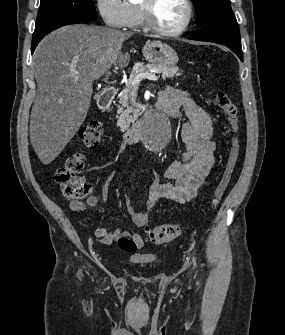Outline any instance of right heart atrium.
Segmentation results:
<instances>
[{
    "mask_svg": "<svg viewBox=\"0 0 285 335\" xmlns=\"http://www.w3.org/2000/svg\"><path fill=\"white\" fill-rule=\"evenodd\" d=\"M99 8L104 23L116 30L129 26L135 16L129 1H100Z\"/></svg>",
    "mask_w": 285,
    "mask_h": 335,
    "instance_id": "1",
    "label": "right heart atrium"
}]
</instances>
